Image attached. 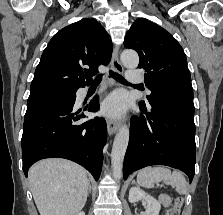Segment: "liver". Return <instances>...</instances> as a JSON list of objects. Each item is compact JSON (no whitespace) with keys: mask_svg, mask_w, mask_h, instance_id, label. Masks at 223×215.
<instances>
[{"mask_svg":"<svg viewBox=\"0 0 223 215\" xmlns=\"http://www.w3.org/2000/svg\"><path fill=\"white\" fill-rule=\"evenodd\" d=\"M40 215H74L88 195L87 171L68 159H41L28 171Z\"/></svg>","mask_w":223,"mask_h":215,"instance_id":"obj_1","label":"liver"}]
</instances>
